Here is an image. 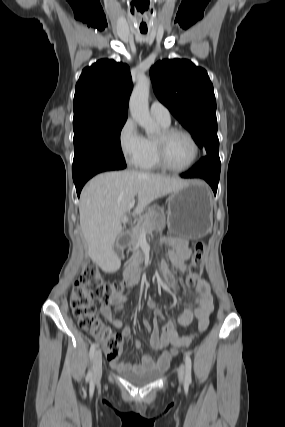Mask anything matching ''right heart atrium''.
<instances>
[{"mask_svg":"<svg viewBox=\"0 0 285 427\" xmlns=\"http://www.w3.org/2000/svg\"><path fill=\"white\" fill-rule=\"evenodd\" d=\"M118 142L125 161L136 165L145 149V137L133 118L128 117L121 126Z\"/></svg>","mask_w":285,"mask_h":427,"instance_id":"d8ad5b80","label":"right heart atrium"}]
</instances>
